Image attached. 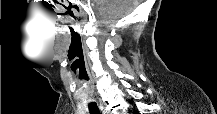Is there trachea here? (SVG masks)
<instances>
[{"mask_svg": "<svg viewBox=\"0 0 217 114\" xmlns=\"http://www.w3.org/2000/svg\"><path fill=\"white\" fill-rule=\"evenodd\" d=\"M88 108L91 114H100L99 108L96 104V102H90L88 104Z\"/></svg>", "mask_w": 217, "mask_h": 114, "instance_id": "obj_1", "label": "trachea"}]
</instances>
